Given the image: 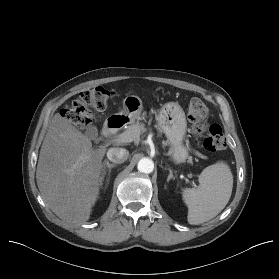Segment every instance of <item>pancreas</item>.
Wrapping results in <instances>:
<instances>
[{"label": "pancreas", "mask_w": 279, "mask_h": 279, "mask_svg": "<svg viewBox=\"0 0 279 279\" xmlns=\"http://www.w3.org/2000/svg\"><path fill=\"white\" fill-rule=\"evenodd\" d=\"M145 131H146V129L144 127V124H139V123H135V124L129 125L127 127V129L125 130V132L131 133V135L134 137V140L139 138L140 135L142 133H144Z\"/></svg>", "instance_id": "pancreas-1"}]
</instances>
